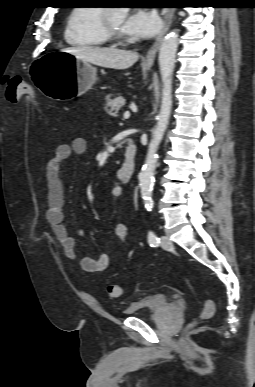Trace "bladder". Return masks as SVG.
I'll return each instance as SVG.
<instances>
[{
    "label": "bladder",
    "mask_w": 255,
    "mask_h": 387,
    "mask_svg": "<svg viewBox=\"0 0 255 387\" xmlns=\"http://www.w3.org/2000/svg\"><path fill=\"white\" fill-rule=\"evenodd\" d=\"M170 298L163 293H154L132 302L123 310V314L130 317H140L144 314H157L170 308Z\"/></svg>",
    "instance_id": "obj_1"
}]
</instances>
